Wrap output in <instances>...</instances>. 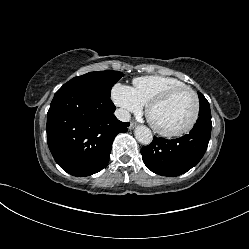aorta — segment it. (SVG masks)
Segmentation results:
<instances>
[{"instance_id":"762f6f07","label":"aorta","mask_w":249,"mask_h":249,"mask_svg":"<svg viewBox=\"0 0 249 249\" xmlns=\"http://www.w3.org/2000/svg\"><path fill=\"white\" fill-rule=\"evenodd\" d=\"M135 138L144 145H149L153 140L151 130L146 126H139L135 129Z\"/></svg>"}]
</instances>
